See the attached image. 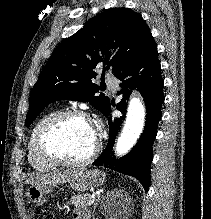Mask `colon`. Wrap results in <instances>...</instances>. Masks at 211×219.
I'll list each match as a JSON object with an SVG mask.
<instances>
[{
  "label": "colon",
  "mask_w": 211,
  "mask_h": 219,
  "mask_svg": "<svg viewBox=\"0 0 211 219\" xmlns=\"http://www.w3.org/2000/svg\"><path fill=\"white\" fill-rule=\"evenodd\" d=\"M30 217L31 219H53L51 212L42 209H33Z\"/></svg>",
  "instance_id": "1"
}]
</instances>
